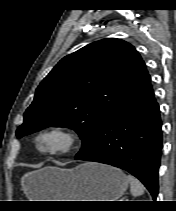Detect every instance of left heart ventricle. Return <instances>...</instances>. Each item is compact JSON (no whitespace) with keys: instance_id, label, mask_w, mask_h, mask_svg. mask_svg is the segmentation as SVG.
<instances>
[{"instance_id":"left-heart-ventricle-1","label":"left heart ventricle","mask_w":176,"mask_h":211,"mask_svg":"<svg viewBox=\"0 0 176 211\" xmlns=\"http://www.w3.org/2000/svg\"><path fill=\"white\" fill-rule=\"evenodd\" d=\"M55 143H56V141H55L54 139L45 140V141L43 142V144H44L45 146H51V145H54Z\"/></svg>"}]
</instances>
